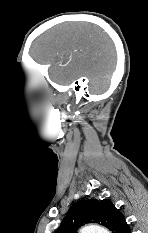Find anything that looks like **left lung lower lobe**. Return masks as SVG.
<instances>
[{
  "label": "left lung lower lobe",
  "instance_id": "obj_1",
  "mask_svg": "<svg viewBox=\"0 0 148 233\" xmlns=\"http://www.w3.org/2000/svg\"><path fill=\"white\" fill-rule=\"evenodd\" d=\"M127 233H131L130 229L127 231Z\"/></svg>",
  "mask_w": 148,
  "mask_h": 233
}]
</instances>
